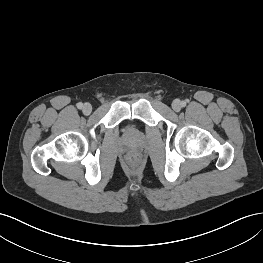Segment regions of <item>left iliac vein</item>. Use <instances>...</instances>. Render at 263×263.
Listing matches in <instances>:
<instances>
[{"mask_svg":"<svg viewBox=\"0 0 263 263\" xmlns=\"http://www.w3.org/2000/svg\"><path fill=\"white\" fill-rule=\"evenodd\" d=\"M182 108V104L180 102V100H174L172 102V109L175 111V112H179Z\"/></svg>","mask_w":263,"mask_h":263,"instance_id":"4c4485c4","label":"left iliac vein"}]
</instances>
